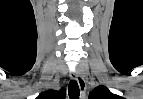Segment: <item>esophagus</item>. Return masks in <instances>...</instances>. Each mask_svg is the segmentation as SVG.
Returning a JSON list of instances; mask_svg holds the SVG:
<instances>
[{"instance_id": "obj_1", "label": "esophagus", "mask_w": 143, "mask_h": 99, "mask_svg": "<svg viewBox=\"0 0 143 99\" xmlns=\"http://www.w3.org/2000/svg\"><path fill=\"white\" fill-rule=\"evenodd\" d=\"M72 78L77 81L79 88L81 90V93H85L86 82H85L84 77L78 71H75V72H73Z\"/></svg>"}]
</instances>
